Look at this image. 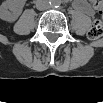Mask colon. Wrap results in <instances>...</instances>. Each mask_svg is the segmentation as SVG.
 Returning <instances> with one entry per match:
<instances>
[{
  "label": "colon",
  "instance_id": "1",
  "mask_svg": "<svg viewBox=\"0 0 103 103\" xmlns=\"http://www.w3.org/2000/svg\"><path fill=\"white\" fill-rule=\"evenodd\" d=\"M95 9L102 13L103 11V3L101 1L94 2ZM103 34V21L101 18H98L93 21L89 31H88V37L91 40L99 39Z\"/></svg>",
  "mask_w": 103,
  "mask_h": 103
}]
</instances>
